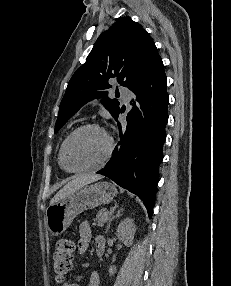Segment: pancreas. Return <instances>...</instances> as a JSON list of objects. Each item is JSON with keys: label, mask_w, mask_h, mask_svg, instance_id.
I'll return each mask as SVG.
<instances>
[{"label": "pancreas", "mask_w": 231, "mask_h": 286, "mask_svg": "<svg viewBox=\"0 0 231 286\" xmlns=\"http://www.w3.org/2000/svg\"><path fill=\"white\" fill-rule=\"evenodd\" d=\"M111 214L112 213L106 209L100 210L94 219L93 225L97 224L98 226L102 227L108 220H110Z\"/></svg>", "instance_id": "1"}]
</instances>
